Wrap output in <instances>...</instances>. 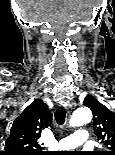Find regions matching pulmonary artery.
<instances>
[{"label":"pulmonary artery","instance_id":"1","mask_svg":"<svg viewBox=\"0 0 115 155\" xmlns=\"http://www.w3.org/2000/svg\"><path fill=\"white\" fill-rule=\"evenodd\" d=\"M88 140V132L85 129H78L73 134L61 139L58 147L61 150L74 149Z\"/></svg>","mask_w":115,"mask_h":155}]
</instances>
